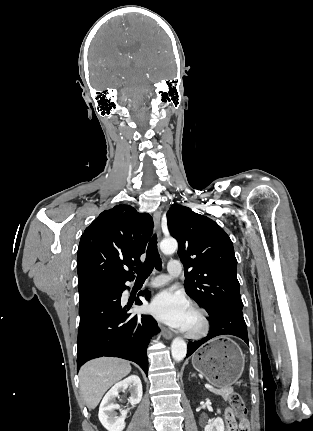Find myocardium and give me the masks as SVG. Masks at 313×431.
<instances>
[{
    "label": "myocardium",
    "instance_id": "myocardium-1",
    "mask_svg": "<svg viewBox=\"0 0 313 431\" xmlns=\"http://www.w3.org/2000/svg\"><path fill=\"white\" fill-rule=\"evenodd\" d=\"M191 310L197 316L199 324L195 329H187L186 336L191 339H200L207 336L211 329V322L208 313L197 305H193Z\"/></svg>",
    "mask_w": 313,
    "mask_h": 431
}]
</instances>
